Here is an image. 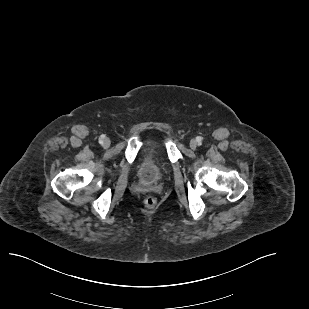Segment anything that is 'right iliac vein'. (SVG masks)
<instances>
[{"instance_id": "obj_1", "label": "right iliac vein", "mask_w": 309, "mask_h": 309, "mask_svg": "<svg viewBox=\"0 0 309 309\" xmlns=\"http://www.w3.org/2000/svg\"><path fill=\"white\" fill-rule=\"evenodd\" d=\"M110 143H111L110 140L108 138H105L103 140L102 145H103L104 148H108L110 146Z\"/></svg>"}]
</instances>
